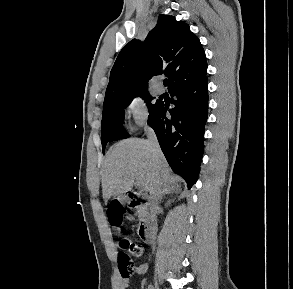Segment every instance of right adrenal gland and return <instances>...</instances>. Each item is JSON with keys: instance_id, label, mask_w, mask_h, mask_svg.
Wrapping results in <instances>:
<instances>
[{"instance_id": "2a0ac1e0", "label": "right adrenal gland", "mask_w": 293, "mask_h": 289, "mask_svg": "<svg viewBox=\"0 0 293 289\" xmlns=\"http://www.w3.org/2000/svg\"><path fill=\"white\" fill-rule=\"evenodd\" d=\"M180 191V188L178 186H165L164 189L161 192L159 200L161 201L165 194H170V193H177Z\"/></svg>"}]
</instances>
